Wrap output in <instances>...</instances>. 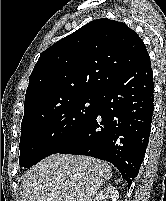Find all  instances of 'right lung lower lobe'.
Returning <instances> with one entry per match:
<instances>
[{
    "instance_id": "1",
    "label": "right lung lower lobe",
    "mask_w": 166,
    "mask_h": 201,
    "mask_svg": "<svg viewBox=\"0 0 166 201\" xmlns=\"http://www.w3.org/2000/svg\"><path fill=\"white\" fill-rule=\"evenodd\" d=\"M153 90V72L146 53L97 95L95 113L53 154L87 155L108 161L130 186L149 141Z\"/></svg>"
}]
</instances>
